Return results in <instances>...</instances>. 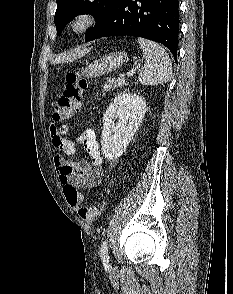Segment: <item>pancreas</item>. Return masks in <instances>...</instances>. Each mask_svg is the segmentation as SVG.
I'll list each match as a JSON object with an SVG mask.
<instances>
[{
  "label": "pancreas",
  "mask_w": 233,
  "mask_h": 294,
  "mask_svg": "<svg viewBox=\"0 0 233 294\" xmlns=\"http://www.w3.org/2000/svg\"><path fill=\"white\" fill-rule=\"evenodd\" d=\"M127 85L126 80L124 79H107L106 83L104 84V90L105 91H111L116 88H122Z\"/></svg>",
  "instance_id": "pancreas-1"
}]
</instances>
